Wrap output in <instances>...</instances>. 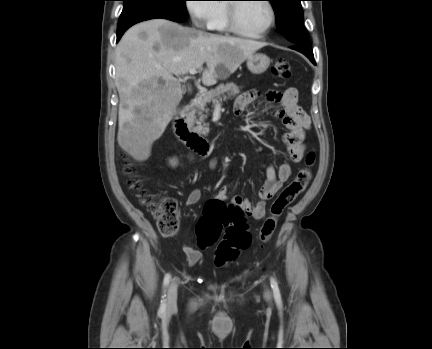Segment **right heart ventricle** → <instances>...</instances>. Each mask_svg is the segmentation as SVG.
Here are the masks:
<instances>
[{
  "label": "right heart ventricle",
  "mask_w": 432,
  "mask_h": 349,
  "mask_svg": "<svg viewBox=\"0 0 432 349\" xmlns=\"http://www.w3.org/2000/svg\"><path fill=\"white\" fill-rule=\"evenodd\" d=\"M216 12L211 20L210 29L225 33L228 32L227 26V4L220 2L216 3Z\"/></svg>",
  "instance_id": "e07e8e85"
}]
</instances>
